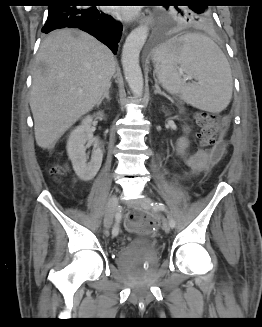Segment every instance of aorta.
Masks as SVG:
<instances>
[{"label": "aorta", "mask_w": 262, "mask_h": 327, "mask_svg": "<svg viewBox=\"0 0 262 327\" xmlns=\"http://www.w3.org/2000/svg\"><path fill=\"white\" fill-rule=\"evenodd\" d=\"M148 37V27L135 28L126 38L122 49V66L125 79L136 97L143 95L144 81L139 65V55Z\"/></svg>", "instance_id": "obj_1"}]
</instances>
